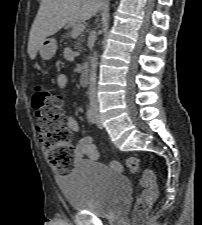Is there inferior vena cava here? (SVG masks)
<instances>
[{
  "label": "inferior vena cava",
  "mask_w": 202,
  "mask_h": 225,
  "mask_svg": "<svg viewBox=\"0 0 202 225\" xmlns=\"http://www.w3.org/2000/svg\"><path fill=\"white\" fill-rule=\"evenodd\" d=\"M92 47V45H91ZM96 67L97 62L95 57L91 60V71H90V85H89V100L92 107H97V96H96Z\"/></svg>",
  "instance_id": "obj_1"
}]
</instances>
